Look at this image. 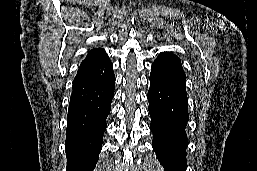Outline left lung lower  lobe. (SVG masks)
Here are the masks:
<instances>
[{
    "label": "left lung lower lobe",
    "mask_w": 257,
    "mask_h": 171,
    "mask_svg": "<svg viewBox=\"0 0 257 171\" xmlns=\"http://www.w3.org/2000/svg\"><path fill=\"white\" fill-rule=\"evenodd\" d=\"M148 91L153 149L165 171H186L189 120L186 76L180 58L162 52L152 64Z\"/></svg>",
    "instance_id": "left-lung-lower-lobe-1"
}]
</instances>
